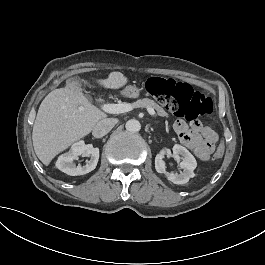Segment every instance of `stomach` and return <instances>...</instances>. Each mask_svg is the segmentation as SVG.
Wrapping results in <instances>:
<instances>
[{
  "label": "stomach",
  "instance_id": "0dacf381",
  "mask_svg": "<svg viewBox=\"0 0 265 265\" xmlns=\"http://www.w3.org/2000/svg\"><path fill=\"white\" fill-rule=\"evenodd\" d=\"M122 93L127 97L136 98L139 96V89L134 86H127Z\"/></svg>",
  "mask_w": 265,
  "mask_h": 265
}]
</instances>
